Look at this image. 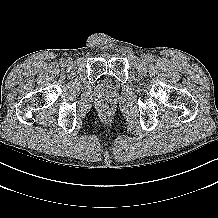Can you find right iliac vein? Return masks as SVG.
I'll list each match as a JSON object with an SVG mask.
<instances>
[{
	"instance_id": "right-iliac-vein-1",
	"label": "right iliac vein",
	"mask_w": 218,
	"mask_h": 218,
	"mask_svg": "<svg viewBox=\"0 0 218 218\" xmlns=\"http://www.w3.org/2000/svg\"><path fill=\"white\" fill-rule=\"evenodd\" d=\"M71 63H72V59L69 58V59H66V60H65V64H66V65H69V64H71Z\"/></svg>"
}]
</instances>
